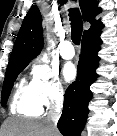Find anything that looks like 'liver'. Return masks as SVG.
<instances>
[{
    "label": "liver",
    "mask_w": 117,
    "mask_h": 136,
    "mask_svg": "<svg viewBox=\"0 0 117 136\" xmlns=\"http://www.w3.org/2000/svg\"><path fill=\"white\" fill-rule=\"evenodd\" d=\"M1 136H51L46 121L9 118L2 124ZM54 136H59L58 131Z\"/></svg>",
    "instance_id": "6515ba94"
}]
</instances>
